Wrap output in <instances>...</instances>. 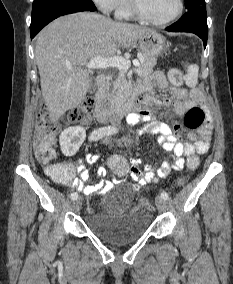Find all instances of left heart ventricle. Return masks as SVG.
<instances>
[{"mask_svg": "<svg viewBox=\"0 0 233 284\" xmlns=\"http://www.w3.org/2000/svg\"><path fill=\"white\" fill-rule=\"evenodd\" d=\"M144 12L156 20L169 18L177 9V0H140Z\"/></svg>", "mask_w": 233, "mask_h": 284, "instance_id": "1", "label": "left heart ventricle"}]
</instances>
